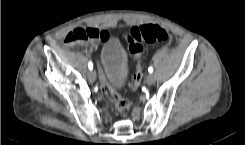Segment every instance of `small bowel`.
Returning a JSON list of instances; mask_svg holds the SVG:
<instances>
[{
	"mask_svg": "<svg viewBox=\"0 0 245 145\" xmlns=\"http://www.w3.org/2000/svg\"><path fill=\"white\" fill-rule=\"evenodd\" d=\"M94 29H96L99 32V36L97 37L96 40H94L93 42L90 43V49L91 50L98 49L100 44L102 42H104L109 36V32L106 31V30H100V29H97V28H94Z\"/></svg>",
	"mask_w": 245,
	"mask_h": 145,
	"instance_id": "1",
	"label": "small bowel"
}]
</instances>
